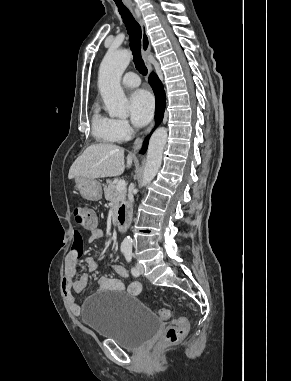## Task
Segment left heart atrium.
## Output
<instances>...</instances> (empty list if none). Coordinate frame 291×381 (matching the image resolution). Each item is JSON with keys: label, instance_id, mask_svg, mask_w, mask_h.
I'll return each instance as SVG.
<instances>
[{"label": "left heart atrium", "instance_id": "1", "mask_svg": "<svg viewBox=\"0 0 291 381\" xmlns=\"http://www.w3.org/2000/svg\"><path fill=\"white\" fill-rule=\"evenodd\" d=\"M130 115L137 126L146 125L154 112L153 97L145 90L133 92L129 98Z\"/></svg>", "mask_w": 291, "mask_h": 381}]
</instances>
